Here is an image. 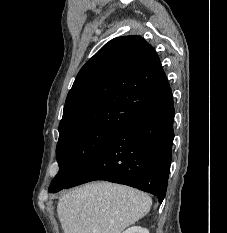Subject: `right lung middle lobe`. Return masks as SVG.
Here are the masks:
<instances>
[{
	"instance_id": "right-lung-middle-lobe-1",
	"label": "right lung middle lobe",
	"mask_w": 227,
	"mask_h": 233,
	"mask_svg": "<svg viewBox=\"0 0 227 233\" xmlns=\"http://www.w3.org/2000/svg\"><path fill=\"white\" fill-rule=\"evenodd\" d=\"M117 130L86 127L59 134L56 147L59 172L48 191L55 193L72 182Z\"/></svg>"
}]
</instances>
